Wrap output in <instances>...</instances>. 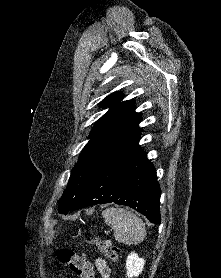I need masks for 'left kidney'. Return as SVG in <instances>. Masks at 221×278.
Segmentation results:
<instances>
[{
	"label": "left kidney",
	"mask_w": 221,
	"mask_h": 278,
	"mask_svg": "<svg viewBox=\"0 0 221 278\" xmlns=\"http://www.w3.org/2000/svg\"><path fill=\"white\" fill-rule=\"evenodd\" d=\"M145 260L139 258L135 252H131L126 260L128 278L138 277L144 268Z\"/></svg>",
	"instance_id": "1"
}]
</instances>
